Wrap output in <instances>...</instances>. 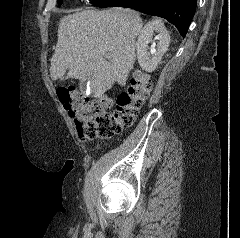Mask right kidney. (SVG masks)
<instances>
[{
	"mask_svg": "<svg viewBox=\"0 0 240 238\" xmlns=\"http://www.w3.org/2000/svg\"><path fill=\"white\" fill-rule=\"evenodd\" d=\"M154 32H157L159 40L157 44V51L151 50L152 56L148 52V44L152 41ZM170 43V35L160 19L149 21L141 30L137 43V59L140 67L147 71L153 72L161 61L162 56L168 50Z\"/></svg>",
	"mask_w": 240,
	"mask_h": 238,
	"instance_id": "right-kidney-1",
	"label": "right kidney"
}]
</instances>
